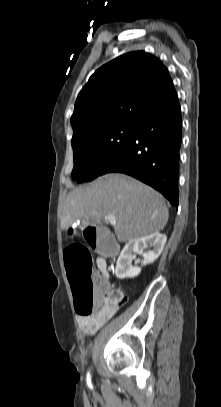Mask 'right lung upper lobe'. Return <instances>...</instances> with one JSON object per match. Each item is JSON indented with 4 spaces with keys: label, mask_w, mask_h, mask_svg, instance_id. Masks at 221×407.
Instances as JSON below:
<instances>
[{
    "label": "right lung upper lobe",
    "mask_w": 221,
    "mask_h": 407,
    "mask_svg": "<svg viewBox=\"0 0 221 407\" xmlns=\"http://www.w3.org/2000/svg\"><path fill=\"white\" fill-rule=\"evenodd\" d=\"M174 92L167 68L155 56L135 51L117 57L80 91L71 117V144L108 127L136 124Z\"/></svg>",
    "instance_id": "right-lung-upper-lobe-1"
}]
</instances>
